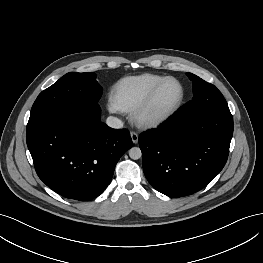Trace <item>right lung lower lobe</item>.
Segmentation results:
<instances>
[{
    "mask_svg": "<svg viewBox=\"0 0 263 263\" xmlns=\"http://www.w3.org/2000/svg\"><path fill=\"white\" fill-rule=\"evenodd\" d=\"M100 115L98 103H86L79 112L61 111L26 133L39 178L65 198L99 196L120 157L132 147L128 130L108 127Z\"/></svg>",
    "mask_w": 263,
    "mask_h": 263,
    "instance_id": "obj_1",
    "label": "right lung lower lobe"
}]
</instances>
